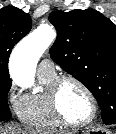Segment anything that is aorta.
Returning a JSON list of instances; mask_svg holds the SVG:
<instances>
[{"label": "aorta", "mask_w": 116, "mask_h": 134, "mask_svg": "<svg viewBox=\"0 0 116 134\" xmlns=\"http://www.w3.org/2000/svg\"><path fill=\"white\" fill-rule=\"evenodd\" d=\"M55 37V31L49 25L43 24L15 46L10 58L9 71L18 86L29 88L34 85L37 62Z\"/></svg>", "instance_id": "aorta-1"}]
</instances>
